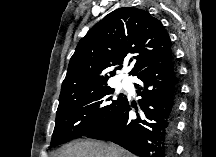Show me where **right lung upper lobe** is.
<instances>
[{"label": "right lung upper lobe", "instance_id": "obj_1", "mask_svg": "<svg viewBox=\"0 0 216 157\" xmlns=\"http://www.w3.org/2000/svg\"><path fill=\"white\" fill-rule=\"evenodd\" d=\"M170 50L169 35L157 18L134 7L116 9L79 41L59 98L108 87L106 71L112 66L119 69L127 57L132 62L129 74L136 76Z\"/></svg>", "mask_w": 216, "mask_h": 157}]
</instances>
